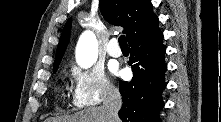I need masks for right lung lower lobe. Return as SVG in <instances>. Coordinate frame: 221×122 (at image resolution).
<instances>
[{
  "label": "right lung lower lobe",
  "instance_id": "obj_1",
  "mask_svg": "<svg viewBox=\"0 0 221 122\" xmlns=\"http://www.w3.org/2000/svg\"><path fill=\"white\" fill-rule=\"evenodd\" d=\"M163 33L155 23L143 35L129 42L133 70L131 82L120 81L123 105L119 117L123 122H160L164 104L161 92L166 87Z\"/></svg>",
  "mask_w": 221,
  "mask_h": 122
}]
</instances>
